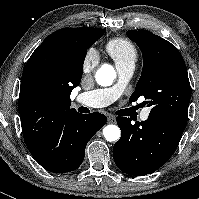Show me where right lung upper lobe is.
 <instances>
[{"label":"right lung upper lobe","instance_id":"right-lung-upper-lobe-1","mask_svg":"<svg viewBox=\"0 0 199 199\" xmlns=\"http://www.w3.org/2000/svg\"><path fill=\"white\" fill-rule=\"evenodd\" d=\"M98 28H63L47 36L27 61L18 110L25 143L52 135L71 113L70 94L80 84L83 63L76 54L81 33Z\"/></svg>","mask_w":199,"mask_h":199}]
</instances>
